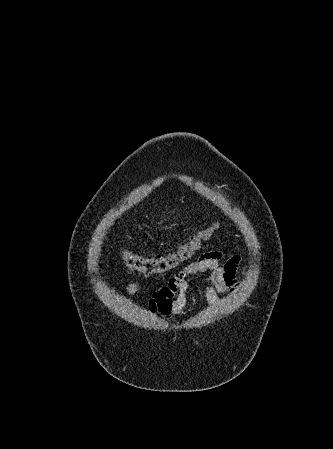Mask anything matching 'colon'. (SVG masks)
<instances>
[{"instance_id":"obj_1","label":"colon","mask_w":333,"mask_h":449,"mask_svg":"<svg viewBox=\"0 0 333 449\" xmlns=\"http://www.w3.org/2000/svg\"><path fill=\"white\" fill-rule=\"evenodd\" d=\"M215 224L201 230L188 242L178 248L177 251L154 257H145L132 251H123L122 260L127 268L144 275H157L166 273L176 268L181 262L189 260L201 249L217 230Z\"/></svg>"}]
</instances>
